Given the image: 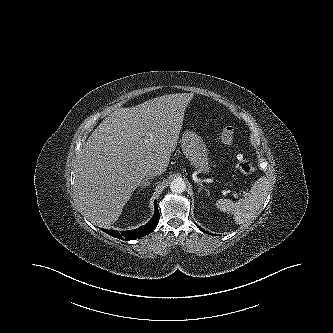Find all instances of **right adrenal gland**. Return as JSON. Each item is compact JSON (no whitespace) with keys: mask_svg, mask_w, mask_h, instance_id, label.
I'll use <instances>...</instances> for the list:
<instances>
[{"mask_svg":"<svg viewBox=\"0 0 333 333\" xmlns=\"http://www.w3.org/2000/svg\"><path fill=\"white\" fill-rule=\"evenodd\" d=\"M153 179V177H147L146 179L143 180L142 184L140 185L139 190H143L144 188L150 186V180Z\"/></svg>","mask_w":333,"mask_h":333,"instance_id":"right-adrenal-gland-1","label":"right adrenal gland"}]
</instances>
